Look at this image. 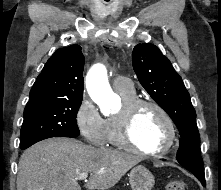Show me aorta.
I'll return each mask as SVG.
<instances>
[{
    "label": "aorta",
    "instance_id": "obj_1",
    "mask_svg": "<svg viewBox=\"0 0 221 190\" xmlns=\"http://www.w3.org/2000/svg\"><path fill=\"white\" fill-rule=\"evenodd\" d=\"M86 88L91 99L99 106L103 115L111 113L112 103L117 100L108 82L107 70L102 64H95L86 76Z\"/></svg>",
    "mask_w": 221,
    "mask_h": 190
}]
</instances>
